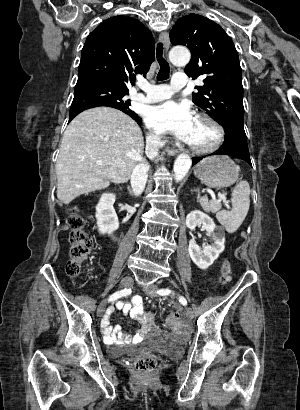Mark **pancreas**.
<instances>
[{"mask_svg": "<svg viewBox=\"0 0 300 410\" xmlns=\"http://www.w3.org/2000/svg\"><path fill=\"white\" fill-rule=\"evenodd\" d=\"M200 203L202 208L206 211L209 212L210 210V203L208 202V200L206 198H201L200 199Z\"/></svg>", "mask_w": 300, "mask_h": 410, "instance_id": "obj_1", "label": "pancreas"}]
</instances>
